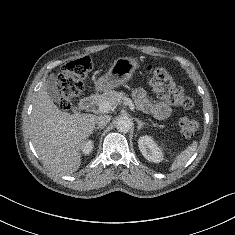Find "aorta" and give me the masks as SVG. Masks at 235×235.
<instances>
[{
	"instance_id": "1",
	"label": "aorta",
	"mask_w": 235,
	"mask_h": 235,
	"mask_svg": "<svg viewBox=\"0 0 235 235\" xmlns=\"http://www.w3.org/2000/svg\"><path fill=\"white\" fill-rule=\"evenodd\" d=\"M132 128V122L129 118H120L117 121V129L119 132L127 133Z\"/></svg>"
}]
</instances>
